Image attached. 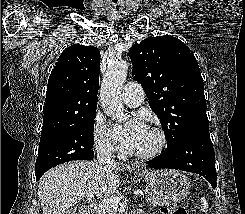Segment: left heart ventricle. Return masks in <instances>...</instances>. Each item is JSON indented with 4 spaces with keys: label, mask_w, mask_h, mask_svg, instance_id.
I'll list each match as a JSON object with an SVG mask.
<instances>
[{
    "label": "left heart ventricle",
    "mask_w": 245,
    "mask_h": 214,
    "mask_svg": "<svg viewBox=\"0 0 245 214\" xmlns=\"http://www.w3.org/2000/svg\"><path fill=\"white\" fill-rule=\"evenodd\" d=\"M158 144L157 136L151 132L149 129H146L143 136L140 138L136 146L132 149L134 153H144L152 150Z\"/></svg>",
    "instance_id": "obj_1"
}]
</instances>
